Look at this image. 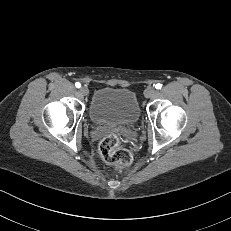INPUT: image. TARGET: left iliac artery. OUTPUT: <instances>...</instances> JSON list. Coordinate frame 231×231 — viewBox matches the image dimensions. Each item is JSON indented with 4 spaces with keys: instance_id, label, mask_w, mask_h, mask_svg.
I'll return each mask as SVG.
<instances>
[{
    "instance_id": "left-iliac-artery-1",
    "label": "left iliac artery",
    "mask_w": 231,
    "mask_h": 231,
    "mask_svg": "<svg viewBox=\"0 0 231 231\" xmlns=\"http://www.w3.org/2000/svg\"><path fill=\"white\" fill-rule=\"evenodd\" d=\"M161 87H162V84H160V83H158V84L155 85L156 89H161Z\"/></svg>"
}]
</instances>
